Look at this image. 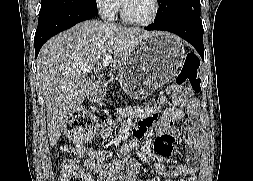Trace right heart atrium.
<instances>
[{"mask_svg":"<svg viewBox=\"0 0 253 181\" xmlns=\"http://www.w3.org/2000/svg\"><path fill=\"white\" fill-rule=\"evenodd\" d=\"M95 8L99 15L106 20H112L120 9L118 0H94Z\"/></svg>","mask_w":253,"mask_h":181,"instance_id":"1","label":"right heart atrium"}]
</instances>
